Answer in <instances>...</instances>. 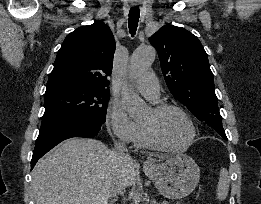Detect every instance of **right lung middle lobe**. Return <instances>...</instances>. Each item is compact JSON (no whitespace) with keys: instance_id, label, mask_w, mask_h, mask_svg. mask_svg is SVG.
I'll list each match as a JSON object with an SVG mask.
<instances>
[{"instance_id":"obj_1","label":"right lung middle lobe","mask_w":261,"mask_h":204,"mask_svg":"<svg viewBox=\"0 0 261 204\" xmlns=\"http://www.w3.org/2000/svg\"><path fill=\"white\" fill-rule=\"evenodd\" d=\"M109 90H63L44 95L45 113L42 124L85 118L105 122Z\"/></svg>"}]
</instances>
